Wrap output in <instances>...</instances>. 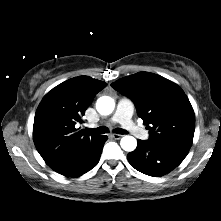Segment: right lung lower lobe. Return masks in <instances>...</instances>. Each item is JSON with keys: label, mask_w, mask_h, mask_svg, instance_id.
<instances>
[{"label": "right lung lower lobe", "mask_w": 221, "mask_h": 221, "mask_svg": "<svg viewBox=\"0 0 221 221\" xmlns=\"http://www.w3.org/2000/svg\"><path fill=\"white\" fill-rule=\"evenodd\" d=\"M107 140L106 135H102L95 148L87 154L83 159L77 162L72 168L62 173L67 177H78L91 170L99 161L103 145Z\"/></svg>", "instance_id": "right-lung-lower-lobe-1"}]
</instances>
